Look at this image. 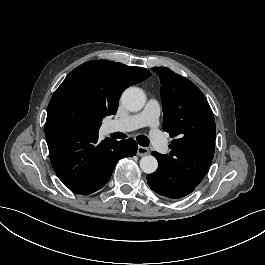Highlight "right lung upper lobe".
<instances>
[{
    "label": "right lung upper lobe",
    "mask_w": 265,
    "mask_h": 265,
    "mask_svg": "<svg viewBox=\"0 0 265 265\" xmlns=\"http://www.w3.org/2000/svg\"><path fill=\"white\" fill-rule=\"evenodd\" d=\"M88 76L103 91L108 103L116 108L122 92L130 85L142 82L151 73L135 66H127L119 62L107 60L88 61L70 72L66 78Z\"/></svg>",
    "instance_id": "1"
}]
</instances>
